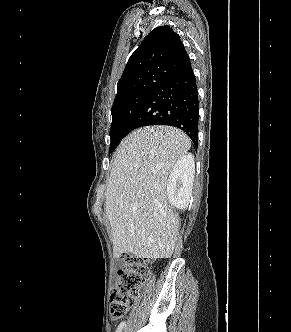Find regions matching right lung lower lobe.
<instances>
[{
  "instance_id": "obj_1",
  "label": "right lung lower lobe",
  "mask_w": 291,
  "mask_h": 332,
  "mask_svg": "<svg viewBox=\"0 0 291 332\" xmlns=\"http://www.w3.org/2000/svg\"><path fill=\"white\" fill-rule=\"evenodd\" d=\"M199 100L191 65L161 81L139 107L126 133L149 125H168L183 130L198 144ZM126 134V135H127Z\"/></svg>"
}]
</instances>
